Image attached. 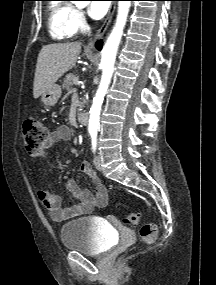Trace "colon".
Returning <instances> with one entry per match:
<instances>
[{"mask_svg":"<svg viewBox=\"0 0 216 285\" xmlns=\"http://www.w3.org/2000/svg\"><path fill=\"white\" fill-rule=\"evenodd\" d=\"M48 139V127L39 119H27L23 125V140L26 151L32 156H41ZM139 222L137 213H130L125 223L131 228H135ZM157 225L146 223L139 230L140 238L145 243H152L157 236Z\"/></svg>","mask_w":216,"mask_h":285,"instance_id":"1","label":"colon"}]
</instances>
